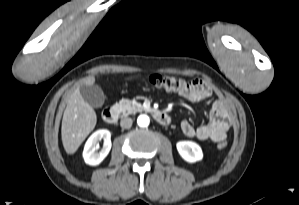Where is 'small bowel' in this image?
Returning <instances> with one entry per match:
<instances>
[{"label": "small bowel", "mask_w": 299, "mask_h": 205, "mask_svg": "<svg viewBox=\"0 0 299 205\" xmlns=\"http://www.w3.org/2000/svg\"><path fill=\"white\" fill-rule=\"evenodd\" d=\"M186 100L197 103L207 100L213 96L212 87L203 80H193L190 85L178 92ZM209 123L194 127L189 121L181 123V130L187 137H196L199 140H211L219 142L226 139V134L230 128L229 110L224 101L217 99L213 102Z\"/></svg>", "instance_id": "obj_1"}]
</instances>
